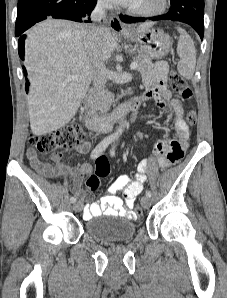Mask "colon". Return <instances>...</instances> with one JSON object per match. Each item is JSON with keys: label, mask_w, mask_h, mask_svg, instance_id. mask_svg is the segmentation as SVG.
I'll return each instance as SVG.
<instances>
[{"label": "colon", "mask_w": 227, "mask_h": 298, "mask_svg": "<svg viewBox=\"0 0 227 298\" xmlns=\"http://www.w3.org/2000/svg\"><path fill=\"white\" fill-rule=\"evenodd\" d=\"M169 83L172 89L180 94L184 99H190L192 97V91L188 86L185 79L172 70L169 74ZM187 122L190 125L196 123V112L189 110L187 114ZM85 135L82 128L78 125H67L60 130L52 131L41 136H32V145L42 153H60L61 150L72 147L79 143H82ZM110 172L109 162L105 157H100L96 162V172L91 175L87 180V186L91 191H95L100 186V180L103 177L108 176ZM136 213L142 218L144 215L141 213V208H136Z\"/></svg>", "instance_id": "colon-1"}]
</instances>
